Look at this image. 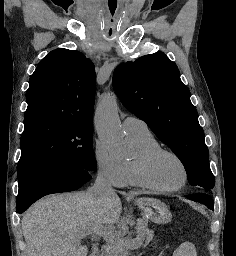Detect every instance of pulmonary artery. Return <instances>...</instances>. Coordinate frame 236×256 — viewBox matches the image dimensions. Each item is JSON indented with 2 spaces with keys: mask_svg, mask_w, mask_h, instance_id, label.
<instances>
[{
  "mask_svg": "<svg viewBox=\"0 0 236 256\" xmlns=\"http://www.w3.org/2000/svg\"><path fill=\"white\" fill-rule=\"evenodd\" d=\"M123 128L130 136H144L150 134L149 128L144 121L135 117L128 116L123 120Z\"/></svg>",
  "mask_w": 236,
  "mask_h": 256,
  "instance_id": "e3ab8cb5",
  "label": "pulmonary artery"
}]
</instances>
